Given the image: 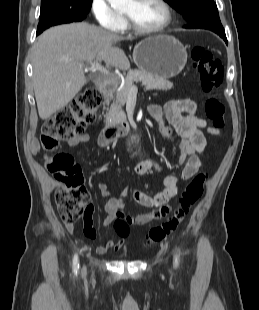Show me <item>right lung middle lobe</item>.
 <instances>
[{
  "label": "right lung middle lobe",
  "mask_w": 259,
  "mask_h": 310,
  "mask_svg": "<svg viewBox=\"0 0 259 310\" xmlns=\"http://www.w3.org/2000/svg\"><path fill=\"white\" fill-rule=\"evenodd\" d=\"M92 0H44L37 33L51 26L82 21L91 9Z\"/></svg>",
  "instance_id": "dd1d6c3e"
}]
</instances>
